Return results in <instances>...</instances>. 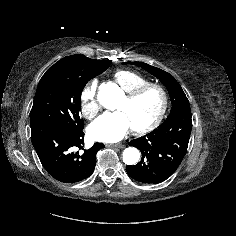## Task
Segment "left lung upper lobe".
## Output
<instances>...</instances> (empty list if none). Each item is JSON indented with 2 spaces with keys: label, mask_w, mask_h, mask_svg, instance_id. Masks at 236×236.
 Returning <instances> with one entry per match:
<instances>
[{
  "label": "left lung upper lobe",
  "mask_w": 236,
  "mask_h": 236,
  "mask_svg": "<svg viewBox=\"0 0 236 236\" xmlns=\"http://www.w3.org/2000/svg\"><path fill=\"white\" fill-rule=\"evenodd\" d=\"M128 63L137 65L145 69L147 72L157 77L166 86L170 95L171 103H172V109H171L170 115L181 110H185V111L190 110L189 101L184 91L182 90L179 83L169 73L157 67H153L142 62H128Z\"/></svg>",
  "instance_id": "left-lung-upper-lobe-1"
}]
</instances>
